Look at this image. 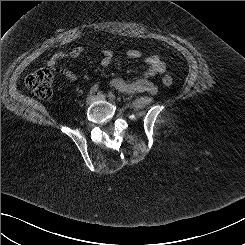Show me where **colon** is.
Instances as JSON below:
<instances>
[{
    "label": "colon",
    "instance_id": "obj_1",
    "mask_svg": "<svg viewBox=\"0 0 245 245\" xmlns=\"http://www.w3.org/2000/svg\"><path fill=\"white\" fill-rule=\"evenodd\" d=\"M174 82V76L170 73H166L162 77V83L165 87L173 86ZM52 83L53 74L46 68L38 69L25 79L26 87L40 99H48L51 97Z\"/></svg>",
    "mask_w": 245,
    "mask_h": 245
}]
</instances>
